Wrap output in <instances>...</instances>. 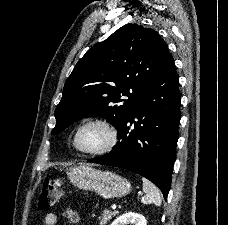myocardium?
I'll return each instance as SVG.
<instances>
[{
	"label": "myocardium",
	"instance_id": "myocardium-1",
	"mask_svg": "<svg viewBox=\"0 0 228 225\" xmlns=\"http://www.w3.org/2000/svg\"><path fill=\"white\" fill-rule=\"evenodd\" d=\"M90 126H97L103 129L106 133V143L100 148H81L77 144V137L81 131ZM119 142V133L117 128L108 120L104 118H87L78 123L69 133L67 137V145L69 149L81 156L100 157L111 153Z\"/></svg>",
	"mask_w": 228,
	"mask_h": 225
}]
</instances>
